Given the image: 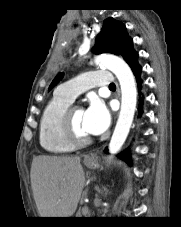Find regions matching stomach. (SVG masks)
I'll return each mask as SVG.
<instances>
[{"instance_id": "obj_1", "label": "stomach", "mask_w": 181, "mask_h": 227, "mask_svg": "<svg viewBox=\"0 0 181 227\" xmlns=\"http://www.w3.org/2000/svg\"><path fill=\"white\" fill-rule=\"evenodd\" d=\"M84 164L89 169H96L98 167V160L96 158H86Z\"/></svg>"}]
</instances>
